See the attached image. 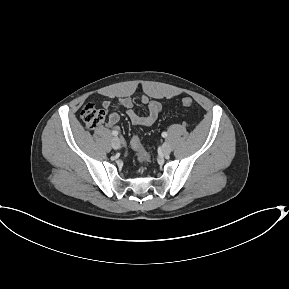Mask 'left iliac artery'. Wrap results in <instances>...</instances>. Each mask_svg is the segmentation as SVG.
<instances>
[{"label":"left iliac artery","instance_id":"44dca946","mask_svg":"<svg viewBox=\"0 0 289 289\" xmlns=\"http://www.w3.org/2000/svg\"><path fill=\"white\" fill-rule=\"evenodd\" d=\"M162 137H164V138L167 137V133H166V132H163V133H162Z\"/></svg>","mask_w":289,"mask_h":289}]
</instances>
